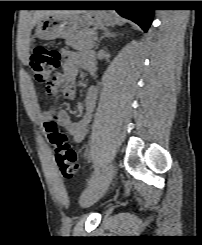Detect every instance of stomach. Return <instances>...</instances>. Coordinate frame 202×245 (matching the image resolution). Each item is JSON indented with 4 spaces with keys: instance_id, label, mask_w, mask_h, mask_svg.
I'll return each instance as SVG.
<instances>
[{
    "instance_id": "stomach-1",
    "label": "stomach",
    "mask_w": 202,
    "mask_h": 245,
    "mask_svg": "<svg viewBox=\"0 0 202 245\" xmlns=\"http://www.w3.org/2000/svg\"><path fill=\"white\" fill-rule=\"evenodd\" d=\"M85 25L111 26L114 25V18L111 13L103 10L88 11L81 16L49 14L39 20L35 35L41 40L69 39L81 26Z\"/></svg>"
}]
</instances>
